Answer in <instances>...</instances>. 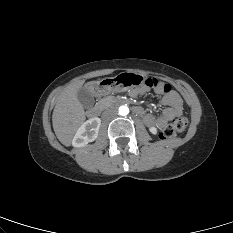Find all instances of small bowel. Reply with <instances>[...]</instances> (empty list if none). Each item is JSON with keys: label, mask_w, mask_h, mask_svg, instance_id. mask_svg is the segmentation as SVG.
Instances as JSON below:
<instances>
[{"label": "small bowel", "mask_w": 233, "mask_h": 233, "mask_svg": "<svg viewBox=\"0 0 233 233\" xmlns=\"http://www.w3.org/2000/svg\"><path fill=\"white\" fill-rule=\"evenodd\" d=\"M149 88L143 87L141 89L135 90L132 92V96H137L145 93ZM155 93L162 95L161 102L166 108L162 111L160 116H154L150 113H144V110L138 107V114L143 116V120L146 125L155 128H162L165 126L171 119L179 116L183 112V103L182 99L174 90H169L167 92H163L159 88H153Z\"/></svg>", "instance_id": "small-bowel-1"}]
</instances>
